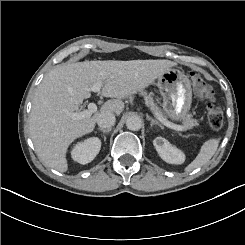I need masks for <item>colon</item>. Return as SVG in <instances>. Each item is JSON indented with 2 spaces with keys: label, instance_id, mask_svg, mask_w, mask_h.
I'll return each mask as SVG.
<instances>
[{
  "label": "colon",
  "instance_id": "obj_1",
  "mask_svg": "<svg viewBox=\"0 0 245 245\" xmlns=\"http://www.w3.org/2000/svg\"><path fill=\"white\" fill-rule=\"evenodd\" d=\"M190 75L196 94L207 103L206 116L209 126L213 129H220L223 126V111L221 106L214 101L213 88L199 72L193 71Z\"/></svg>",
  "mask_w": 245,
  "mask_h": 245
}]
</instances>
